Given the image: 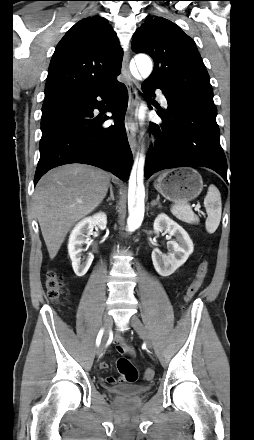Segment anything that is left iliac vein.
Segmentation results:
<instances>
[{"mask_svg": "<svg viewBox=\"0 0 254 440\" xmlns=\"http://www.w3.org/2000/svg\"><path fill=\"white\" fill-rule=\"evenodd\" d=\"M129 323L134 328V330L143 338L148 349H152L153 345L151 338L141 320L137 316L133 315L130 317Z\"/></svg>", "mask_w": 254, "mask_h": 440, "instance_id": "left-iliac-vein-1", "label": "left iliac vein"}]
</instances>
